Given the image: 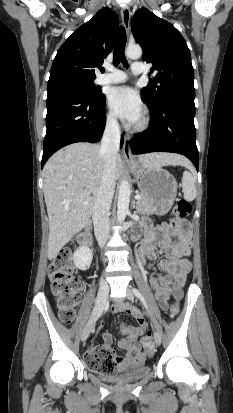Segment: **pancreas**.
<instances>
[{"mask_svg": "<svg viewBox=\"0 0 233 413\" xmlns=\"http://www.w3.org/2000/svg\"><path fill=\"white\" fill-rule=\"evenodd\" d=\"M141 198L136 202L137 213L150 215L156 212L157 207L151 203L149 198L143 193L139 194Z\"/></svg>", "mask_w": 233, "mask_h": 413, "instance_id": "obj_1", "label": "pancreas"}]
</instances>
